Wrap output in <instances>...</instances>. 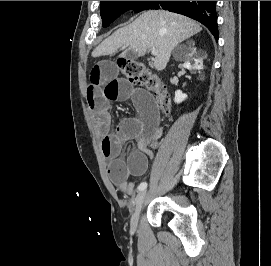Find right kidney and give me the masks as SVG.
<instances>
[{
	"label": "right kidney",
	"mask_w": 271,
	"mask_h": 266,
	"mask_svg": "<svg viewBox=\"0 0 271 266\" xmlns=\"http://www.w3.org/2000/svg\"><path fill=\"white\" fill-rule=\"evenodd\" d=\"M195 48L192 45H189L184 52V59L186 61V66L191 69H197L200 73V70L203 69V60L199 56L195 55ZM187 98V95L182 91L178 90L175 93L174 102L179 104Z\"/></svg>",
	"instance_id": "ca27d5eb"
}]
</instances>
